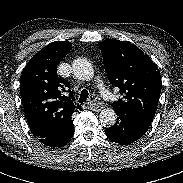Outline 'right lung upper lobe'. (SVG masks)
<instances>
[{"mask_svg":"<svg viewBox=\"0 0 183 183\" xmlns=\"http://www.w3.org/2000/svg\"><path fill=\"white\" fill-rule=\"evenodd\" d=\"M71 47L68 41L50 43L22 72L21 99L30 130L37 138L64 136L74 130L71 116L81 106L73 102L70 83L57 74L58 63Z\"/></svg>","mask_w":183,"mask_h":183,"instance_id":"cb5924a9","label":"right lung upper lobe"}]
</instances>
